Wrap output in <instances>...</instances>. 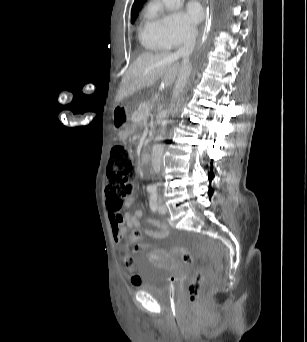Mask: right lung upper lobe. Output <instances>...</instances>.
Masks as SVG:
<instances>
[{
    "label": "right lung upper lobe",
    "mask_w": 307,
    "mask_h": 342,
    "mask_svg": "<svg viewBox=\"0 0 307 342\" xmlns=\"http://www.w3.org/2000/svg\"><path fill=\"white\" fill-rule=\"evenodd\" d=\"M146 0H135L133 6H132V17L131 22L133 23L135 21V18L138 16V12L142 8L143 3Z\"/></svg>",
    "instance_id": "right-lung-upper-lobe-1"
}]
</instances>
